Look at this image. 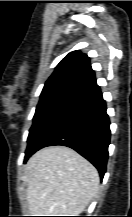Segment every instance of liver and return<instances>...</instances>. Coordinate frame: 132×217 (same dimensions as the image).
Here are the masks:
<instances>
[{"instance_id":"obj_1","label":"liver","mask_w":132,"mask_h":217,"mask_svg":"<svg viewBox=\"0 0 132 217\" xmlns=\"http://www.w3.org/2000/svg\"><path fill=\"white\" fill-rule=\"evenodd\" d=\"M27 202L33 216H77L96 196L97 169L76 151L65 146L36 152L26 166Z\"/></svg>"}]
</instances>
